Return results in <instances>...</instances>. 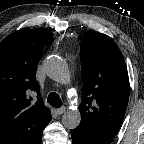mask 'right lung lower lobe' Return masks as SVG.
I'll list each match as a JSON object with an SVG mask.
<instances>
[{"instance_id": "98d812e1", "label": "right lung lower lobe", "mask_w": 144, "mask_h": 144, "mask_svg": "<svg viewBox=\"0 0 144 144\" xmlns=\"http://www.w3.org/2000/svg\"><path fill=\"white\" fill-rule=\"evenodd\" d=\"M37 144H41V139H40V141Z\"/></svg>"}]
</instances>
